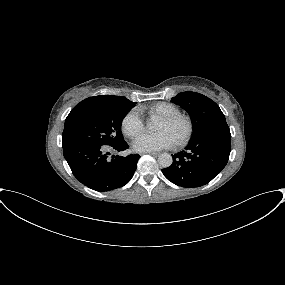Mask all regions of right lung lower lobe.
Segmentation results:
<instances>
[{"instance_id": "1", "label": "right lung lower lobe", "mask_w": 285, "mask_h": 285, "mask_svg": "<svg viewBox=\"0 0 285 285\" xmlns=\"http://www.w3.org/2000/svg\"><path fill=\"white\" fill-rule=\"evenodd\" d=\"M127 148L125 141L113 146L78 143L63 145V155L73 175L82 184L105 192L124 186L133 177L140 157L138 154L109 156V151L120 152Z\"/></svg>"}]
</instances>
